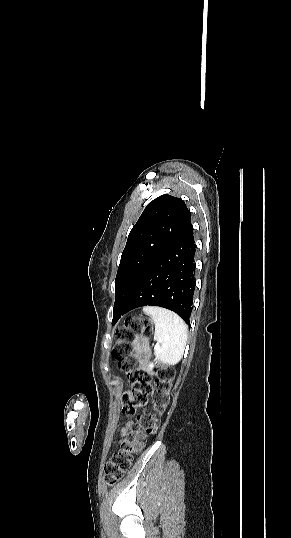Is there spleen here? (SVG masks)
Returning <instances> with one entry per match:
<instances>
[{
    "mask_svg": "<svg viewBox=\"0 0 291 538\" xmlns=\"http://www.w3.org/2000/svg\"><path fill=\"white\" fill-rule=\"evenodd\" d=\"M143 311L152 317L155 323L154 340L157 341L155 360L168 365L178 363L184 354L188 327L174 312L165 308L147 306ZM150 368L153 367L151 363Z\"/></svg>",
    "mask_w": 291,
    "mask_h": 538,
    "instance_id": "1",
    "label": "spleen"
}]
</instances>
